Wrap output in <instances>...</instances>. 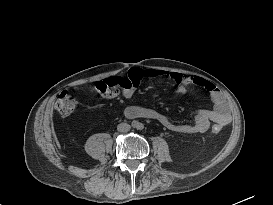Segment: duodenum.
I'll use <instances>...</instances> for the list:
<instances>
[{
  "label": "duodenum",
  "mask_w": 273,
  "mask_h": 205,
  "mask_svg": "<svg viewBox=\"0 0 273 205\" xmlns=\"http://www.w3.org/2000/svg\"><path fill=\"white\" fill-rule=\"evenodd\" d=\"M144 115H147V114H144V113H143V114H141V116H144ZM147 116H148V115H147Z\"/></svg>",
  "instance_id": "duodenum-1"
}]
</instances>
